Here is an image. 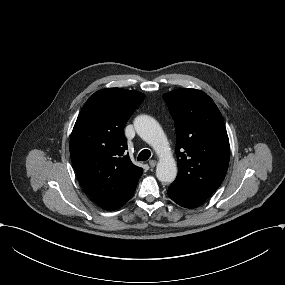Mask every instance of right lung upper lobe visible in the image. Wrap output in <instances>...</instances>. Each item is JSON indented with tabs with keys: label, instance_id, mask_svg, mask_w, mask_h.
Instances as JSON below:
<instances>
[{
	"label": "right lung upper lobe",
	"instance_id": "obj_1",
	"mask_svg": "<svg viewBox=\"0 0 285 285\" xmlns=\"http://www.w3.org/2000/svg\"><path fill=\"white\" fill-rule=\"evenodd\" d=\"M144 97L121 88L97 91L83 106L71 134L70 156L77 177L88 196L108 211L132 197L143 171L125 152L124 127Z\"/></svg>",
	"mask_w": 285,
	"mask_h": 285
}]
</instances>
